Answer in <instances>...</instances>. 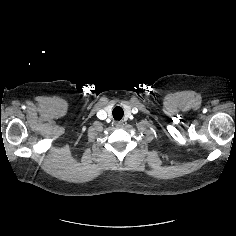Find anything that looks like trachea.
Instances as JSON below:
<instances>
[{"instance_id":"trachea-1","label":"trachea","mask_w":236,"mask_h":236,"mask_svg":"<svg viewBox=\"0 0 236 236\" xmlns=\"http://www.w3.org/2000/svg\"><path fill=\"white\" fill-rule=\"evenodd\" d=\"M112 113L115 120H121L124 114L123 109L119 106L115 107Z\"/></svg>"}]
</instances>
